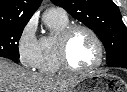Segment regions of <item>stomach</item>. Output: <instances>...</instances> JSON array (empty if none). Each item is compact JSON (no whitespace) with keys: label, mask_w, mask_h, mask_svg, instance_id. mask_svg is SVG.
Wrapping results in <instances>:
<instances>
[{"label":"stomach","mask_w":127,"mask_h":92,"mask_svg":"<svg viewBox=\"0 0 127 92\" xmlns=\"http://www.w3.org/2000/svg\"><path fill=\"white\" fill-rule=\"evenodd\" d=\"M110 81H113L111 75L91 73L84 76L72 92H112Z\"/></svg>","instance_id":"obj_1"}]
</instances>
